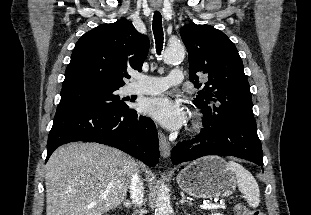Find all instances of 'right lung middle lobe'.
<instances>
[{
    "mask_svg": "<svg viewBox=\"0 0 311 215\" xmlns=\"http://www.w3.org/2000/svg\"><path fill=\"white\" fill-rule=\"evenodd\" d=\"M118 87L94 83H75L62 86L61 100L57 110L67 107H87L104 111H124L129 109L117 95Z\"/></svg>",
    "mask_w": 311,
    "mask_h": 215,
    "instance_id": "dd1d6c3e",
    "label": "right lung middle lobe"
}]
</instances>
